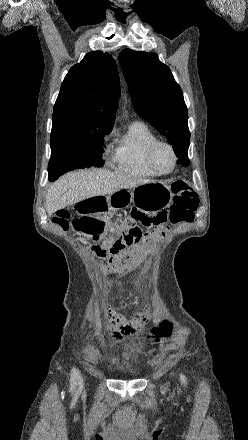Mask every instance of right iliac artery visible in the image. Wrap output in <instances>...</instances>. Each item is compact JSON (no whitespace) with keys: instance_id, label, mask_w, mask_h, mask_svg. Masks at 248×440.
Masks as SVG:
<instances>
[{"instance_id":"obj_1","label":"right iliac artery","mask_w":248,"mask_h":440,"mask_svg":"<svg viewBox=\"0 0 248 440\" xmlns=\"http://www.w3.org/2000/svg\"><path fill=\"white\" fill-rule=\"evenodd\" d=\"M80 381L81 382V376L80 373L77 369H72L71 372V379H70V384H71V391H74L76 386H77V382Z\"/></svg>"}]
</instances>
